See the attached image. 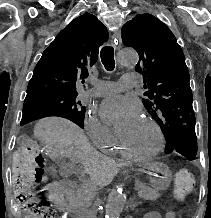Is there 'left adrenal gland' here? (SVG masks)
<instances>
[{
  "label": "left adrenal gland",
  "mask_w": 211,
  "mask_h": 218,
  "mask_svg": "<svg viewBox=\"0 0 211 218\" xmlns=\"http://www.w3.org/2000/svg\"><path fill=\"white\" fill-rule=\"evenodd\" d=\"M132 200H135V198H132ZM139 204H141V202H133L132 210H135Z\"/></svg>",
  "instance_id": "a2214340"
}]
</instances>
